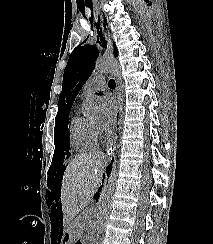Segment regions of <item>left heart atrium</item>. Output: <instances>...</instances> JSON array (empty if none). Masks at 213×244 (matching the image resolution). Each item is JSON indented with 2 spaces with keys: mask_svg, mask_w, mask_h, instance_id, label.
<instances>
[{
  "mask_svg": "<svg viewBox=\"0 0 213 244\" xmlns=\"http://www.w3.org/2000/svg\"><path fill=\"white\" fill-rule=\"evenodd\" d=\"M105 117L103 126L110 129L114 126L117 113V102L111 96L107 97L104 101Z\"/></svg>",
  "mask_w": 213,
  "mask_h": 244,
  "instance_id": "1",
  "label": "left heart atrium"
}]
</instances>
